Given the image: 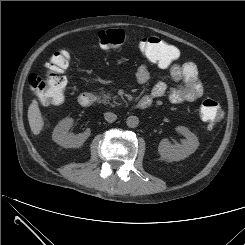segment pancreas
<instances>
[{"instance_id":"pancreas-1","label":"pancreas","mask_w":245,"mask_h":245,"mask_svg":"<svg viewBox=\"0 0 245 245\" xmlns=\"http://www.w3.org/2000/svg\"><path fill=\"white\" fill-rule=\"evenodd\" d=\"M111 99H113V103H114V104H111L112 106H115V104H118L116 102V99H117L116 96H112L108 92L107 93L103 92L102 93V99L100 100V102H102L103 104H109Z\"/></svg>"}]
</instances>
